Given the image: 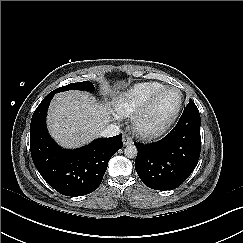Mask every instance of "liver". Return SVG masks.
<instances>
[{"label":"liver","mask_w":243,"mask_h":243,"mask_svg":"<svg viewBox=\"0 0 243 243\" xmlns=\"http://www.w3.org/2000/svg\"><path fill=\"white\" fill-rule=\"evenodd\" d=\"M121 82L117 83L120 86ZM109 103H98L91 94L66 91L54 96L47 115L52 137L65 148L80 147L100 135L112 121Z\"/></svg>","instance_id":"1"}]
</instances>
